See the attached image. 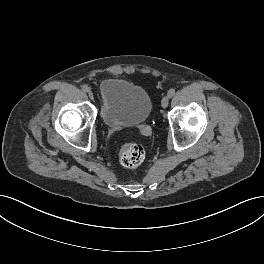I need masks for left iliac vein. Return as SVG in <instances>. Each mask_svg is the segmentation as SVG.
Masks as SVG:
<instances>
[{
  "instance_id": "obj_1",
  "label": "left iliac vein",
  "mask_w": 264,
  "mask_h": 264,
  "mask_svg": "<svg viewBox=\"0 0 264 264\" xmlns=\"http://www.w3.org/2000/svg\"><path fill=\"white\" fill-rule=\"evenodd\" d=\"M169 103V97L168 96H164L161 100V105L163 108H166L168 106Z\"/></svg>"
}]
</instances>
